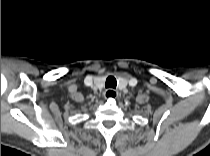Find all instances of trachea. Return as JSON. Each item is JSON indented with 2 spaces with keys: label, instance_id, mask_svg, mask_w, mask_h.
<instances>
[{
  "label": "trachea",
  "instance_id": "trachea-1",
  "mask_svg": "<svg viewBox=\"0 0 210 156\" xmlns=\"http://www.w3.org/2000/svg\"><path fill=\"white\" fill-rule=\"evenodd\" d=\"M116 86H117V81H116L115 77L109 76V77L106 79L105 87H106V88H113V89H116Z\"/></svg>",
  "mask_w": 210,
  "mask_h": 156
}]
</instances>
